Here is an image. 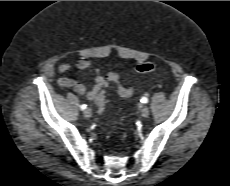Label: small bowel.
Masks as SVG:
<instances>
[{
	"instance_id": "obj_1",
	"label": "small bowel",
	"mask_w": 230,
	"mask_h": 186,
	"mask_svg": "<svg viewBox=\"0 0 230 186\" xmlns=\"http://www.w3.org/2000/svg\"><path fill=\"white\" fill-rule=\"evenodd\" d=\"M71 65L61 64L58 67L59 73H67L71 70ZM75 68L82 71L91 72L94 75V85L91 88H88L83 83L76 81L68 77H61L58 79V85L61 87H67L72 89L74 92L86 97L87 99L94 101L97 104L98 99H105V89L108 86L109 82L107 76L101 74L99 69L93 66V64L88 60H78L75 63ZM114 82H118V79ZM118 93L121 97L128 98L132 94H127L124 91L127 89L122 85L117 87Z\"/></svg>"
}]
</instances>
